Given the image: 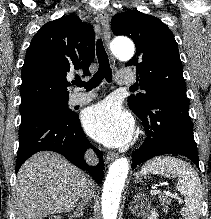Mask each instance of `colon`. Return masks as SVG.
Here are the masks:
<instances>
[{
  "instance_id": "5ec220e1",
  "label": "colon",
  "mask_w": 211,
  "mask_h": 219,
  "mask_svg": "<svg viewBox=\"0 0 211 219\" xmlns=\"http://www.w3.org/2000/svg\"><path fill=\"white\" fill-rule=\"evenodd\" d=\"M44 219H60L59 217H56V218H44Z\"/></svg>"
}]
</instances>
